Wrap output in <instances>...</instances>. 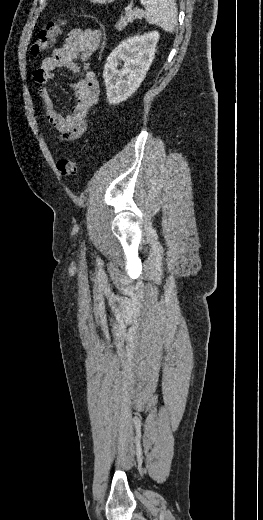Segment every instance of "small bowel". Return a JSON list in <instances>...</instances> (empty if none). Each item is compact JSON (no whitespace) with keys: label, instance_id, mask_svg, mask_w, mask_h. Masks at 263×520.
Returning a JSON list of instances; mask_svg holds the SVG:
<instances>
[{"label":"small bowel","instance_id":"small-bowel-1","mask_svg":"<svg viewBox=\"0 0 263 520\" xmlns=\"http://www.w3.org/2000/svg\"><path fill=\"white\" fill-rule=\"evenodd\" d=\"M101 41L102 32L98 29H73L67 34L63 44L55 48L49 57L44 58L40 67L33 72L34 80L39 85L44 118L65 141L76 140L85 134L88 128V112L99 97V82L95 74L85 66L81 76V67L75 60L80 55L84 59L91 56L98 50ZM58 69H67L78 76L77 81L72 84L75 104L67 115L56 111L49 90L54 71Z\"/></svg>","mask_w":263,"mask_h":520}]
</instances>
